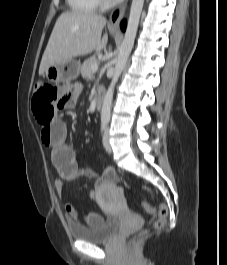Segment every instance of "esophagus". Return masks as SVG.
Returning a JSON list of instances; mask_svg holds the SVG:
<instances>
[{"label": "esophagus", "instance_id": "1", "mask_svg": "<svg viewBox=\"0 0 227 265\" xmlns=\"http://www.w3.org/2000/svg\"><path fill=\"white\" fill-rule=\"evenodd\" d=\"M127 6L128 0H126L122 5L112 11L108 22V27L110 29H117L119 27V24L125 15Z\"/></svg>", "mask_w": 227, "mask_h": 265}]
</instances>
